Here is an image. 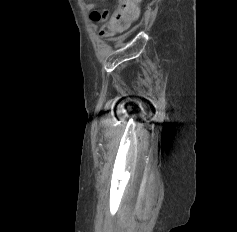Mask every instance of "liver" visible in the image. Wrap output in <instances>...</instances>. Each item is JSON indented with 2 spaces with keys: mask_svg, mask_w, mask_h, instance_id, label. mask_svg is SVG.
I'll use <instances>...</instances> for the list:
<instances>
[{
  "mask_svg": "<svg viewBox=\"0 0 237 232\" xmlns=\"http://www.w3.org/2000/svg\"><path fill=\"white\" fill-rule=\"evenodd\" d=\"M137 2H141V0H136Z\"/></svg>",
  "mask_w": 237,
  "mask_h": 232,
  "instance_id": "6515ba94",
  "label": "liver"
}]
</instances>
